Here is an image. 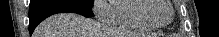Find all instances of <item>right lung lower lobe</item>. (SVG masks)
<instances>
[{
	"instance_id": "98d812e1",
	"label": "right lung lower lobe",
	"mask_w": 219,
	"mask_h": 37,
	"mask_svg": "<svg viewBox=\"0 0 219 37\" xmlns=\"http://www.w3.org/2000/svg\"><path fill=\"white\" fill-rule=\"evenodd\" d=\"M29 8L30 34L42 20L56 13L72 12L85 17L93 16L92 7L71 0H38L30 2Z\"/></svg>"
}]
</instances>
